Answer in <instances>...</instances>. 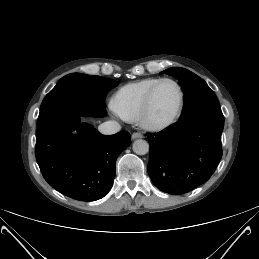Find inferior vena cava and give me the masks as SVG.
<instances>
[{"mask_svg": "<svg viewBox=\"0 0 259 259\" xmlns=\"http://www.w3.org/2000/svg\"><path fill=\"white\" fill-rule=\"evenodd\" d=\"M98 130L102 134L111 135L119 132L121 130V126L117 121L110 120L100 124L98 126Z\"/></svg>", "mask_w": 259, "mask_h": 259, "instance_id": "obj_1", "label": "inferior vena cava"}]
</instances>
